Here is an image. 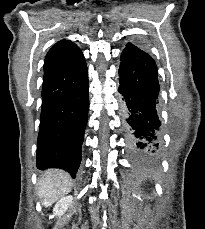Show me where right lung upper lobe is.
Listing matches in <instances>:
<instances>
[{"mask_svg": "<svg viewBox=\"0 0 205 229\" xmlns=\"http://www.w3.org/2000/svg\"><path fill=\"white\" fill-rule=\"evenodd\" d=\"M53 49L54 53H56L68 67H75L84 60L81 50L69 40L57 42L53 46Z\"/></svg>", "mask_w": 205, "mask_h": 229, "instance_id": "right-lung-upper-lobe-1", "label": "right lung upper lobe"}]
</instances>
